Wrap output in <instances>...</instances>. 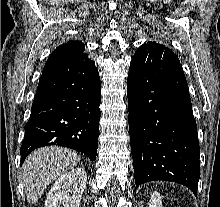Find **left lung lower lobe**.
<instances>
[{"label":"left lung lower lobe","mask_w":220,"mask_h":207,"mask_svg":"<svg viewBox=\"0 0 220 207\" xmlns=\"http://www.w3.org/2000/svg\"><path fill=\"white\" fill-rule=\"evenodd\" d=\"M127 97L136 186L172 181L197 196V125L182 66L171 49L156 42L137 49L129 69Z\"/></svg>","instance_id":"left-lung-lower-lobe-1"}]
</instances>
